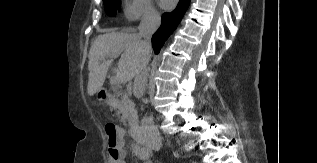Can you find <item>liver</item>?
Instances as JSON below:
<instances>
[{
	"label": "liver",
	"instance_id": "1",
	"mask_svg": "<svg viewBox=\"0 0 317 163\" xmlns=\"http://www.w3.org/2000/svg\"><path fill=\"white\" fill-rule=\"evenodd\" d=\"M119 55L121 57L117 73L121 77L120 82L126 83L136 77L141 62L146 56L139 34L133 30H127L105 33L96 37L89 52L87 92L90 96L102 89L108 68L113 58Z\"/></svg>",
	"mask_w": 317,
	"mask_h": 163
}]
</instances>
